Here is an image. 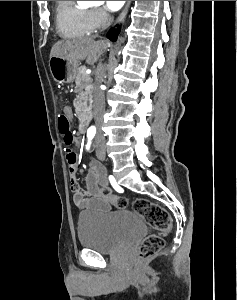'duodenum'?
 I'll list each match as a JSON object with an SVG mask.
<instances>
[{"mask_svg":"<svg viewBox=\"0 0 237 300\" xmlns=\"http://www.w3.org/2000/svg\"><path fill=\"white\" fill-rule=\"evenodd\" d=\"M88 128V118L86 116H81L78 124V131L80 133H85Z\"/></svg>","mask_w":237,"mask_h":300,"instance_id":"410a0bca","label":"duodenum"}]
</instances>
